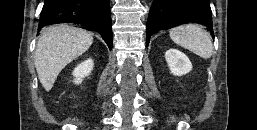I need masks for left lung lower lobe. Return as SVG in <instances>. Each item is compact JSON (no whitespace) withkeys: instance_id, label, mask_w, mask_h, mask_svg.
<instances>
[{"instance_id":"1","label":"left lung lower lobe","mask_w":257,"mask_h":130,"mask_svg":"<svg viewBox=\"0 0 257 130\" xmlns=\"http://www.w3.org/2000/svg\"><path fill=\"white\" fill-rule=\"evenodd\" d=\"M187 23L206 25L214 38L209 0H153L147 19L146 45L153 33Z\"/></svg>"}]
</instances>
